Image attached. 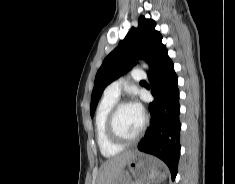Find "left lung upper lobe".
<instances>
[{
  "label": "left lung upper lobe",
  "instance_id": "5c2ea615",
  "mask_svg": "<svg viewBox=\"0 0 235 184\" xmlns=\"http://www.w3.org/2000/svg\"><path fill=\"white\" fill-rule=\"evenodd\" d=\"M155 21L141 16L138 27H132L124 40L103 61L99 68L92 91L90 114L93 117L98 101L104 88L129 71L136 63L143 59L151 67L152 60L162 36L155 28Z\"/></svg>",
  "mask_w": 235,
  "mask_h": 184
}]
</instances>
